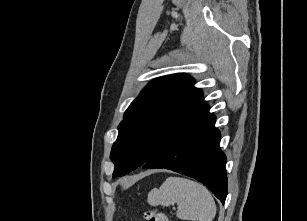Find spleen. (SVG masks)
<instances>
[{
	"mask_svg": "<svg viewBox=\"0 0 307 221\" xmlns=\"http://www.w3.org/2000/svg\"><path fill=\"white\" fill-rule=\"evenodd\" d=\"M151 206L177 204L176 216L181 220L212 221L216 215L215 201L208 189L189 179L168 177L159 189L148 194Z\"/></svg>",
	"mask_w": 307,
	"mask_h": 221,
	"instance_id": "obj_1",
	"label": "spleen"
}]
</instances>
